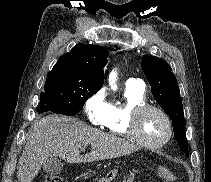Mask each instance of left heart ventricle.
Returning a JSON list of instances; mask_svg holds the SVG:
<instances>
[{
	"label": "left heart ventricle",
	"instance_id": "1",
	"mask_svg": "<svg viewBox=\"0 0 211 182\" xmlns=\"http://www.w3.org/2000/svg\"><path fill=\"white\" fill-rule=\"evenodd\" d=\"M139 133L146 142L158 143L166 136L167 126L158 112L149 110L139 119Z\"/></svg>",
	"mask_w": 211,
	"mask_h": 182
}]
</instances>
